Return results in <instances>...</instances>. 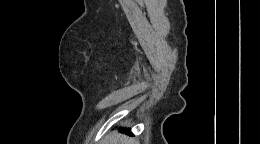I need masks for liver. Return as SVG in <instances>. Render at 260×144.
Here are the masks:
<instances>
[{"label":"liver","mask_w":260,"mask_h":144,"mask_svg":"<svg viewBox=\"0 0 260 144\" xmlns=\"http://www.w3.org/2000/svg\"><path fill=\"white\" fill-rule=\"evenodd\" d=\"M124 142H125V144H132L133 141H131V140H125Z\"/></svg>","instance_id":"liver-1"}]
</instances>
